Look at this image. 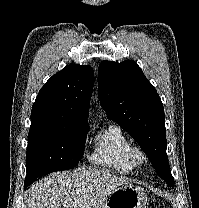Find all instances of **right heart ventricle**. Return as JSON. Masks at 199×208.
Instances as JSON below:
<instances>
[{
	"instance_id": "1",
	"label": "right heart ventricle",
	"mask_w": 199,
	"mask_h": 208,
	"mask_svg": "<svg viewBox=\"0 0 199 208\" xmlns=\"http://www.w3.org/2000/svg\"><path fill=\"white\" fill-rule=\"evenodd\" d=\"M130 138L117 125L109 124L99 130L94 137V148L90 161L106 170L129 174L134 165L129 159Z\"/></svg>"
}]
</instances>
